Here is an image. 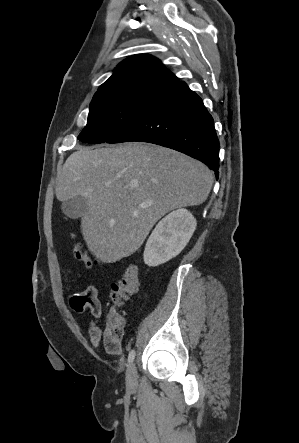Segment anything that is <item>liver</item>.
<instances>
[{
    "label": "liver",
    "instance_id": "1",
    "mask_svg": "<svg viewBox=\"0 0 299 443\" xmlns=\"http://www.w3.org/2000/svg\"><path fill=\"white\" fill-rule=\"evenodd\" d=\"M213 180L205 164L169 148L138 142L80 147L64 163L56 197L88 199L83 238L96 258L114 263L136 252L166 213L205 202Z\"/></svg>",
    "mask_w": 299,
    "mask_h": 443
}]
</instances>
